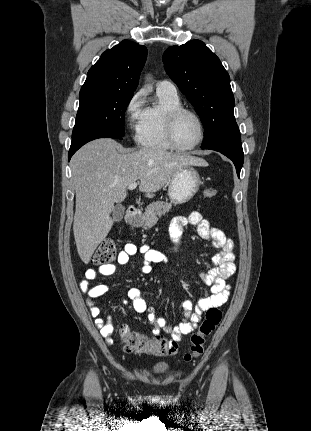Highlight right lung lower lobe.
<instances>
[{
  "instance_id": "right-lung-lower-lobe-1",
  "label": "right lung lower lobe",
  "mask_w": 311,
  "mask_h": 431,
  "mask_svg": "<svg viewBox=\"0 0 311 431\" xmlns=\"http://www.w3.org/2000/svg\"><path fill=\"white\" fill-rule=\"evenodd\" d=\"M123 136H120L118 134L112 133V132H108V131H102V130H93V131H89L83 134H80L76 137L72 138V143H71V147L68 153V159L70 160V158L72 157V155L81 147L83 146L85 143L94 140V139H98V138H117V139H122Z\"/></svg>"
}]
</instances>
